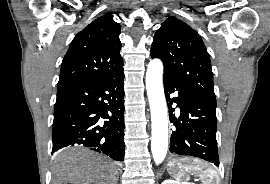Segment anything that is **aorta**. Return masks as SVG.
<instances>
[{
  "label": "aorta",
  "mask_w": 270,
  "mask_h": 184,
  "mask_svg": "<svg viewBox=\"0 0 270 184\" xmlns=\"http://www.w3.org/2000/svg\"><path fill=\"white\" fill-rule=\"evenodd\" d=\"M163 63L159 59L149 62L146 72V89L151 110V151L154 162L164 161L168 148L167 106L163 89Z\"/></svg>",
  "instance_id": "aorta-1"
}]
</instances>
